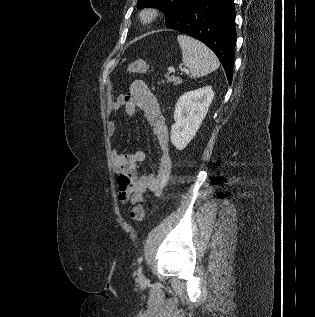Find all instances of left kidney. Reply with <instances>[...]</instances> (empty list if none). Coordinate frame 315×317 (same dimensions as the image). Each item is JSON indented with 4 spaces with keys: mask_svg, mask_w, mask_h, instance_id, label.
<instances>
[{
    "mask_svg": "<svg viewBox=\"0 0 315 317\" xmlns=\"http://www.w3.org/2000/svg\"><path fill=\"white\" fill-rule=\"evenodd\" d=\"M214 98L211 86L184 93L174 110L175 123L171 127V143L183 150L195 136Z\"/></svg>",
    "mask_w": 315,
    "mask_h": 317,
    "instance_id": "1",
    "label": "left kidney"
}]
</instances>
